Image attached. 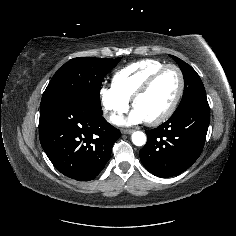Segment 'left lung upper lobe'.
Returning <instances> with one entry per match:
<instances>
[{"label":"left lung upper lobe","mask_w":236,"mask_h":236,"mask_svg":"<svg viewBox=\"0 0 236 236\" xmlns=\"http://www.w3.org/2000/svg\"><path fill=\"white\" fill-rule=\"evenodd\" d=\"M172 58L179 65L185 84L183 97L176 111L194 101L206 99L204 85L196 71L178 57L172 56Z\"/></svg>","instance_id":"left-lung-upper-lobe-1"}]
</instances>
